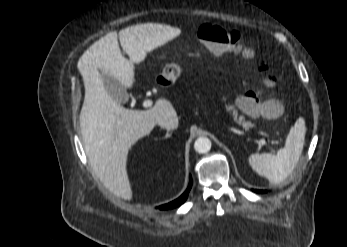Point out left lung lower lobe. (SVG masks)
I'll return each mask as SVG.
<instances>
[{"mask_svg":"<svg viewBox=\"0 0 347 247\" xmlns=\"http://www.w3.org/2000/svg\"><path fill=\"white\" fill-rule=\"evenodd\" d=\"M255 192H258V193H264V192H266V191H257V190H255Z\"/></svg>","mask_w":347,"mask_h":247,"instance_id":"1","label":"left lung lower lobe"}]
</instances>
